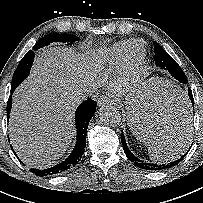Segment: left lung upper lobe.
I'll return each instance as SVG.
<instances>
[{
    "label": "left lung upper lobe",
    "instance_id": "1",
    "mask_svg": "<svg viewBox=\"0 0 203 203\" xmlns=\"http://www.w3.org/2000/svg\"><path fill=\"white\" fill-rule=\"evenodd\" d=\"M154 52H155L154 59H156V57L160 53H165L166 51L157 42H154Z\"/></svg>",
    "mask_w": 203,
    "mask_h": 203
}]
</instances>
